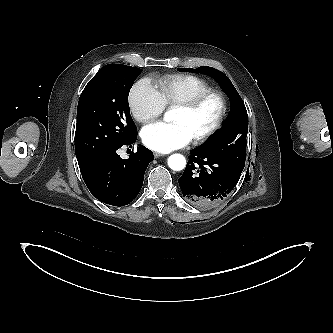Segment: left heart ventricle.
<instances>
[{
	"mask_svg": "<svg viewBox=\"0 0 333 333\" xmlns=\"http://www.w3.org/2000/svg\"><path fill=\"white\" fill-rule=\"evenodd\" d=\"M220 109L219 100L211 98L193 112L175 109L172 121L183 124L193 139L212 127L219 116Z\"/></svg>",
	"mask_w": 333,
	"mask_h": 333,
	"instance_id": "obj_1",
	"label": "left heart ventricle"
}]
</instances>
